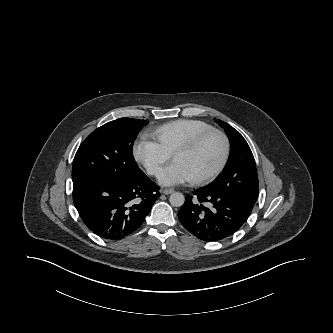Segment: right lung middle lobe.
I'll use <instances>...</instances> for the list:
<instances>
[{"label":"right lung middle lobe","instance_id":"obj_1","mask_svg":"<svg viewBox=\"0 0 333 333\" xmlns=\"http://www.w3.org/2000/svg\"><path fill=\"white\" fill-rule=\"evenodd\" d=\"M147 123L120 118L93 131L76 152L72 166L73 186L95 180L131 181L140 172L133 157V143Z\"/></svg>","mask_w":333,"mask_h":333}]
</instances>
